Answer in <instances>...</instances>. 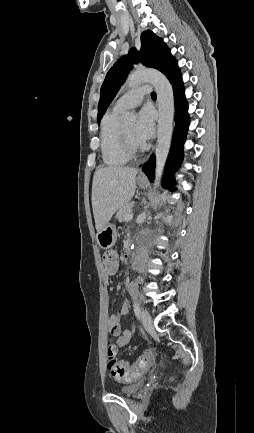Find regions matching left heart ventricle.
I'll return each mask as SVG.
<instances>
[{
	"label": "left heart ventricle",
	"mask_w": 254,
	"mask_h": 433,
	"mask_svg": "<svg viewBox=\"0 0 254 433\" xmlns=\"http://www.w3.org/2000/svg\"><path fill=\"white\" fill-rule=\"evenodd\" d=\"M122 128L124 129L126 135L130 139V141L135 146H141V144L137 141V139L135 138V135H134V129H135V124L134 123L127 124V125L123 126Z\"/></svg>",
	"instance_id": "1"
}]
</instances>
